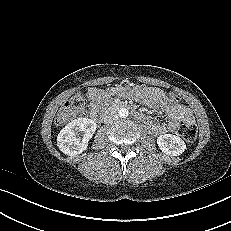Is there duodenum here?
I'll return each mask as SVG.
<instances>
[{"label": "duodenum", "instance_id": "obj_1", "mask_svg": "<svg viewBox=\"0 0 231 231\" xmlns=\"http://www.w3.org/2000/svg\"><path fill=\"white\" fill-rule=\"evenodd\" d=\"M127 106L122 101H118L113 104V106L110 107H98L96 111L91 112L92 119L96 122H101L109 113H111L114 109H119Z\"/></svg>", "mask_w": 231, "mask_h": 231}]
</instances>
